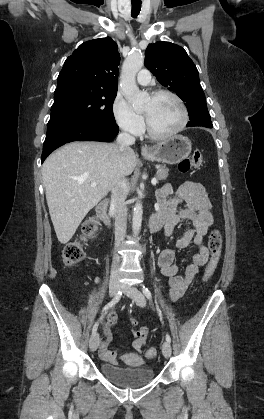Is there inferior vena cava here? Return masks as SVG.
<instances>
[{
  "label": "inferior vena cava",
  "mask_w": 264,
  "mask_h": 419,
  "mask_svg": "<svg viewBox=\"0 0 264 419\" xmlns=\"http://www.w3.org/2000/svg\"><path fill=\"white\" fill-rule=\"evenodd\" d=\"M135 143V138L128 132H121L117 137L119 151L123 152L127 147ZM127 196V180L122 176L117 184L111 189V204L115 208V246L123 242L126 233V220L128 209L125 199ZM120 262L117 255L114 256L113 267L117 268Z\"/></svg>",
  "instance_id": "1"
}]
</instances>
